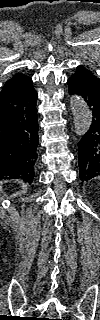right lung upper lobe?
<instances>
[{"label":"right lung upper lobe","instance_id":"1","mask_svg":"<svg viewBox=\"0 0 100 320\" xmlns=\"http://www.w3.org/2000/svg\"><path fill=\"white\" fill-rule=\"evenodd\" d=\"M32 87V79L22 73L9 79L0 92V99L19 97Z\"/></svg>","mask_w":100,"mask_h":320}]
</instances>
